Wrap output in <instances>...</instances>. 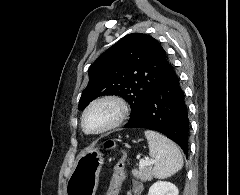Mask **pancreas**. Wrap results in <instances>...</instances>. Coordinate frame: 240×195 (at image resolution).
<instances>
[{
    "label": "pancreas",
    "instance_id": "1",
    "mask_svg": "<svg viewBox=\"0 0 240 195\" xmlns=\"http://www.w3.org/2000/svg\"><path fill=\"white\" fill-rule=\"evenodd\" d=\"M152 167H142V169H132L134 177L140 181H151L153 179Z\"/></svg>",
    "mask_w": 240,
    "mask_h": 195
}]
</instances>
